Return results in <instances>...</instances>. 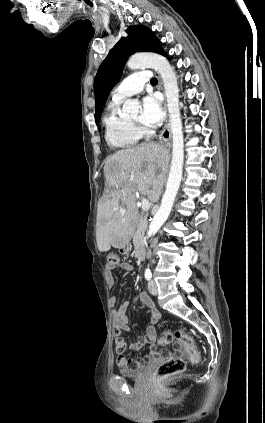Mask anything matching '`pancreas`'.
<instances>
[{"instance_id": "cf45deb5", "label": "pancreas", "mask_w": 265, "mask_h": 423, "mask_svg": "<svg viewBox=\"0 0 265 423\" xmlns=\"http://www.w3.org/2000/svg\"><path fill=\"white\" fill-rule=\"evenodd\" d=\"M147 227V216L142 215L138 224L132 232L133 240L135 244H140L143 241L144 232Z\"/></svg>"}]
</instances>
